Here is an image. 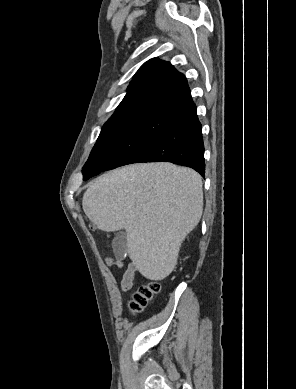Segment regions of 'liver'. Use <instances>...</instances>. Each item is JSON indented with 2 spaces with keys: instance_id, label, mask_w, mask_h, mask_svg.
<instances>
[{
  "instance_id": "obj_1",
  "label": "liver",
  "mask_w": 296,
  "mask_h": 389,
  "mask_svg": "<svg viewBox=\"0 0 296 389\" xmlns=\"http://www.w3.org/2000/svg\"><path fill=\"white\" fill-rule=\"evenodd\" d=\"M82 206L98 229H125L136 269L149 280H163L201 219L202 179L192 169L167 162L129 165L96 179Z\"/></svg>"
}]
</instances>
